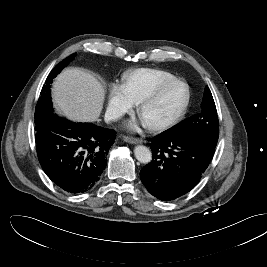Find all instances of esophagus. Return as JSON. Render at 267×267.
<instances>
[{"instance_id": "1", "label": "esophagus", "mask_w": 267, "mask_h": 267, "mask_svg": "<svg viewBox=\"0 0 267 267\" xmlns=\"http://www.w3.org/2000/svg\"><path fill=\"white\" fill-rule=\"evenodd\" d=\"M123 140L125 142L131 143V144H140L142 142V139H140V138L129 137V136H124Z\"/></svg>"}]
</instances>
